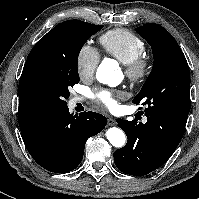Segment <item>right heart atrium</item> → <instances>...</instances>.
I'll use <instances>...</instances> for the list:
<instances>
[{"label":"right heart atrium","mask_w":199,"mask_h":199,"mask_svg":"<svg viewBox=\"0 0 199 199\" xmlns=\"http://www.w3.org/2000/svg\"><path fill=\"white\" fill-rule=\"evenodd\" d=\"M100 61L98 51L90 46L84 44L77 55L76 68L81 78H89L95 73Z\"/></svg>","instance_id":"1"}]
</instances>
